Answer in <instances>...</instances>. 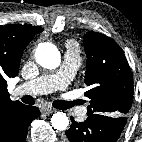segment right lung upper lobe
<instances>
[{"label": "right lung upper lobe", "mask_w": 142, "mask_h": 142, "mask_svg": "<svg viewBox=\"0 0 142 142\" xmlns=\"http://www.w3.org/2000/svg\"><path fill=\"white\" fill-rule=\"evenodd\" d=\"M42 31L43 28L35 26H0V120L23 105L10 99L5 79L17 75L23 50Z\"/></svg>", "instance_id": "obj_1"}]
</instances>
